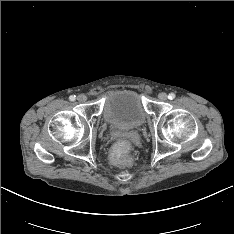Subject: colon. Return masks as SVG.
Instances as JSON below:
<instances>
[{"label": "colon", "instance_id": "1", "mask_svg": "<svg viewBox=\"0 0 234 234\" xmlns=\"http://www.w3.org/2000/svg\"><path fill=\"white\" fill-rule=\"evenodd\" d=\"M133 150V143L128 138H121L114 142L113 148L109 152V159L112 163L118 166H125L128 164L129 167L137 166V159L130 158V153Z\"/></svg>", "mask_w": 234, "mask_h": 234}]
</instances>
